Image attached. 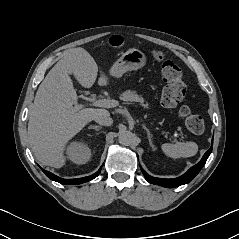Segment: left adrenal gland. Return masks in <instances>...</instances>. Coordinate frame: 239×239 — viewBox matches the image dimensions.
I'll list each match as a JSON object with an SVG mask.
<instances>
[{
	"label": "left adrenal gland",
	"instance_id": "a2214340",
	"mask_svg": "<svg viewBox=\"0 0 239 239\" xmlns=\"http://www.w3.org/2000/svg\"><path fill=\"white\" fill-rule=\"evenodd\" d=\"M142 127L147 132V138H148L150 146L152 147L153 150H156V148L154 147V145L152 143V134L150 133L149 129L145 126V124H142Z\"/></svg>",
	"mask_w": 239,
	"mask_h": 239
}]
</instances>
